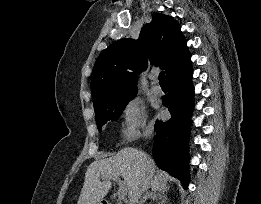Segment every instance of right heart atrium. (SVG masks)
Wrapping results in <instances>:
<instances>
[{"mask_svg":"<svg viewBox=\"0 0 261 204\" xmlns=\"http://www.w3.org/2000/svg\"><path fill=\"white\" fill-rule=\"evenodd\" d=\"M122 135L128 142H133L141 136L151 132L144 103L137 99H130L122 108Z\"/></svg>","mask_w":261,"mask_h":204,"instance_id":"obj_1","label":"right heart atrium"}]
</instances>
